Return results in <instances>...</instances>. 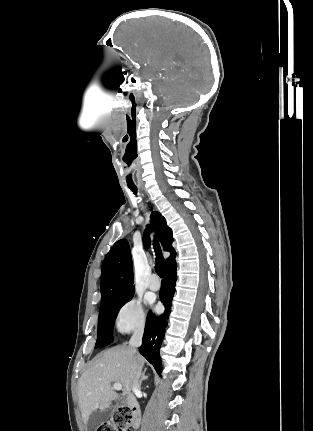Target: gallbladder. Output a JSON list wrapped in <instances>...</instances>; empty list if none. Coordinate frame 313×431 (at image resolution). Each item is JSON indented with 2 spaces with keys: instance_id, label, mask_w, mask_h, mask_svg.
Wrapping results in <instances>:
<instances>
[{
  "instance_id": "bac80fb5",
  "label": "gallbladder",
  "mask_w": 313,
  "mask_h": 431,
  "mask_svg": "<svg viewBox=\"0 0 313 431\" xmlns=\"http://www.w3.org/2000/svg\"><path fill=\"white\" fill-rule=\"evenodd\" d=\"M108 414H109V411L94 414L88 422L89 430H91L96 426H99Z\"/></svg>"
}]
</instances>
